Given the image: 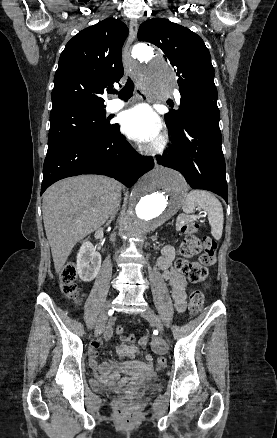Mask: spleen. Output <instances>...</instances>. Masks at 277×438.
Masks as SVG:
<instances>
[{"mask_svg":"<svg viewBox=\"0 0 277 438\" xmlns=\"http://www.w3.org/2000/svg\"><path fill=\"white\" fill-rule=\"evenodd\" d=\"M196 206H199V208L207 212L211 226V234L215 240H220L224 216L223 208L219 200H217L213 194H210V192H205V190H192L185 200L183 212H185V214H193Z\"/></svg>","mask_w":277,"mask_h":438,"instance_id":"obj_1","label":"spleen"}]
</instances>
